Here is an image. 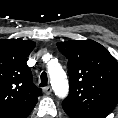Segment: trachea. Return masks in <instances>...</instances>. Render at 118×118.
I'll list each match as a JSON object with an SVG mask.
<instances>
[{"label":"trachea","instance_id":"obj_1","mask_svg":"<svg viewBox=\"0 0 118 118\" xmlns=\"http://www.w3.org/2000/svg\"><path fill=\"white\" fill-rule=\"evenodd\" d=\"M40 86L44 87L47 86L48 84V77H47V73L46 72H42L41 77H40Z\"/></svg>","mask_w":118,"mask_h":118}]
</instances>
